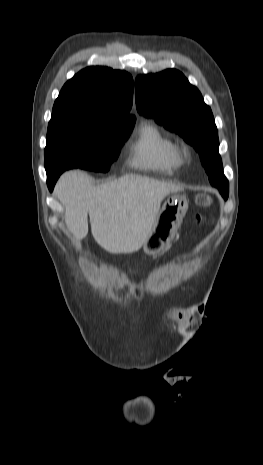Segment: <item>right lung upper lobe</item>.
I'll return each instance as SVG.
<instances>
[{
  "mask_svg": "<svg viewBox=\"0 0 263 465\" xmlns=\"http://www.w3.org/2000/svg\"><path fill=\"white\" fill-rule=\"evenodd\" d=\"M132 101L133 79L127 72L92 66L67 81L53 110L78 109L136 119L129 114Z\"/></svg>",
  "mask_w": 263,
  "mask_h": 465,
  "instance_id": "1",
  "label": "right lung upper lobe"
}]
</instances>
